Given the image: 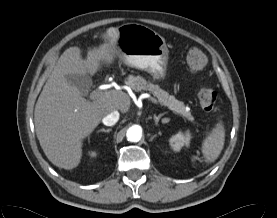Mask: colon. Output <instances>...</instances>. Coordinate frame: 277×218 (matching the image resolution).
Wrapping results in <instances>:
<instances>
[{
    "instance_id": "colon-1",
    "label": "colon",
    "mask_w": 277,
    "mask_h": 218,
    "mask_svg": "<svg viewBox=\"0 0 277 218\" xmlns=\"http://www.w3.org/2000/svg\"><path fill=\"white\" fill-rule=\"evenodd\" d=\"M207 64L205 53L196 47L188 50L186 54V66L190 72L202 71ZM197 100L201 108L205 111H212L217 102V93L210 87H201L197 92Z\"/></svg>"
}]
</instances>
